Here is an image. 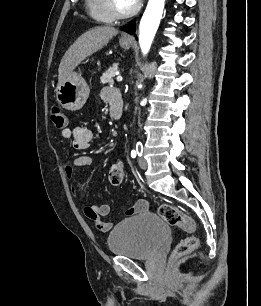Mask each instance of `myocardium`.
<instances>
[{"mask_svg":"<svg viewBox=\"0 0 261 306\" xmlns=\"http://www.w3.org/2000/svg\"><path fill=\"white\" fill-rule=\"evenodd\" d=\"M107 6H108V9H109L110 13L112 14V16L114 18H117V19L128 18V17L134 15L139 9L138 2L135 3V5L127 11L119 10L116 6L115 0H107Z\"/></svg>","mask_w":261,"mask_h":306,"instance_id":"obj_1","label":"myocardium"}]
</instances>
